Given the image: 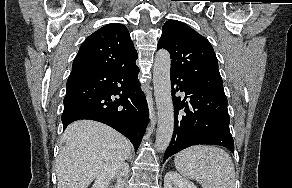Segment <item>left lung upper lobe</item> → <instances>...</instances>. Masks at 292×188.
I'll return each instance as SVG.
<instances>
[{"label":"left lung upper lobe","mask_w":292,"mask_h":188,"mask_svg":"<svg viewBox=\"0 0 292 188\" xmlns=\"http://www.w3.org/2000/svg\"><path fill=\"white\" fill-rule=\"evenodd\" d=\"M171 56V73L199 85L224 91L218 61L209 41L185 23L168 20L162 28L158 49Z\"/></svg>","instance_id":"5c2ea615"}]
</instances>
